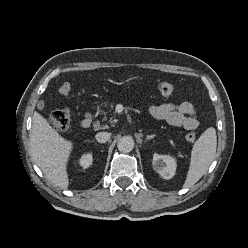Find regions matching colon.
Listing matches in <instances>:
<instances>
[{
  "instance_id": "obj_1",
  "label": "colon",
  "mask_w": 248,
  "mask_h": 248,
  "mask_svg": "<svg viewBox=\"0 0 248 248\" xmlns=\"http://www.w3.org/2000/svg\"><path fill=\"white\" fill-rule=\"evenodd\" d=\"M159 92L164 95L168 96L173 93L174 86L169 82H162L158 86ZM71 92V86L68 83L63 84L59 88V93L63 96L69 95ZM49 122L51 126L57 131H64L69 128L71 124V113L69 109H58L51 113L49 117ZM186 139L189 142H194L196 140V134L193 131H190L186 134Z\"/></svg>"
}]
</instances>
